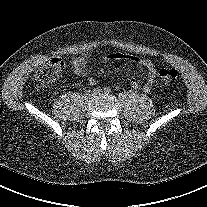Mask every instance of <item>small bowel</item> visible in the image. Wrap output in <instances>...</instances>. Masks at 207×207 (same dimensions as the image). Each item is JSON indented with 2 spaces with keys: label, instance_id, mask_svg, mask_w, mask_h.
Masks as SVG:
<instances>
[{
  "label": "small bowel",
  "instance_id": "1",
  "mask_svg": "<svg viewBox=\"0 0 207 207\" xmlns=\"http://www.w3.org/2000/svg\"><path fill=\"white\" fill-rule=\"evenodd\" d=\"M123 58H128L135 62L139 67L145 69L147 76H146V82L144 83L142 89L145 93H150L152 90L153 83L156 78V67L155 65L148 59L145 58H139L135 56H126L121 53H111L106 56H104V60H120ZM88 63V56L87 55H81L79 57H76L72 60L71 66H72V71L75 75L77 76H82L85 75L86 73V65ZM90 84H95V79L90 77L88 79ZM130 86L133 89H138L140 87V82L137 78H132L130 80Z\"/></svg>",
  "mask_w": 207,
  "mask_h": 207
}]
</instances>
